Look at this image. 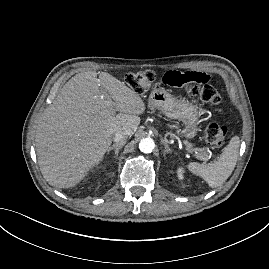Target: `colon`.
I'll use <instances>...</instances> for the list:
<instances>
[{
  "label": "colon",
  "mask_w": 269,
  "mask_h": 269,
  "mask_svg": "<svg viewBox=\"0 0 269 269\" xmlns=\"http://www.w3.org/2000/svg\"><path fill=\"white\" fill-rule=\"evenodd\" d=\"M176 72V71H174ZM182 74L181 72H179ZM156 80V74L152 70H146L139 73H130L126 76L125 81L127 85L135 92L142 94L149 89ZM175 86V85H173ZM216 87V86H215ZM213 85L202 86L194 82H187L185 84V92L190 95H197L201 102H209L213 105H219L221 102V95L218 89ZM227 135V127L218 123H211L205 133V139L208 144L213 147H220Z\"/></svg>",
  "instance_id": "1"
}]
</instances>
